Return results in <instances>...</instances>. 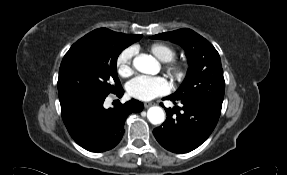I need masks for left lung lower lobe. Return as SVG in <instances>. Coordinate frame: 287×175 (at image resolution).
<instances>
[{
	"instance_id": "0a47b994",
	"label": "left lung lower lobe",
	"mask_w": 287,
	"mask_h": 175,
	"mask_svg": "<svg viewBox=\"0 0 287 175\" xmlns=\"http://www.w3.org/2000/svg\"><path fill=\"white\" fill-rule=\"evenodd\" d=\"M164 99L174 104L179 101L183 107H176L180 111L165 108L168 116L165 123L153 130L156 140L174 153H187L196 149L210 136L221 112L201 101L178 100L171 95Z\"/></svg>"
}]
</instances>
